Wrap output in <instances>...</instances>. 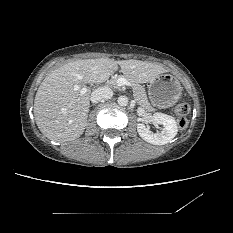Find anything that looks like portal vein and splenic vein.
Listing matches in <instances>:
<instances>
[{
  "instance_id": "1",
  "label": "portal vein and splenic vein",
  "mask_w": 233,
  "mask_h": 233,
  "mask_svg": "<svg viewBox=\"0 0 233 233\" xmlns=\"http://www.w3.org/2000/svg\"><path fill=\"white\" fill-rule=\"evenodd\" d=\"M117 85L118 86H124V85L131 86L130 82L126 78H124V77L118 78ZM75 89H79L80 92H81V94H84V93L87 92V88L86 87L75 86Z\"/></svg>"
}]
</instances>
